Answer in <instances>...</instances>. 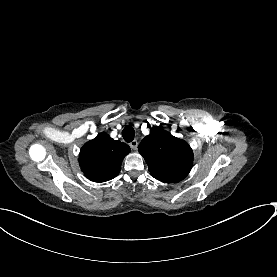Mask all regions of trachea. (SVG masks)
<instances>
[{
    "label": "trachea",
    "mask_w": 277,
    "mask_h": 277,
    "mask_svg": "<svg viewBox=\"0 0 277 277\" xmlns=\"http://www.w3.org/2000/svg\"><path fill=\"white\" fill-rule=\"evenodd\" d=\"M135 136V130L132 126L127 125L122 131V137L126 142L133 141Z\"/></svg>",
    "instance_id": "trachea-1"
}]
</instances>
